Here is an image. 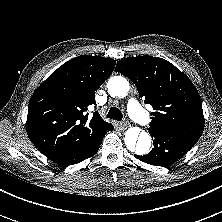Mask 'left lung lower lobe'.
Here are the masks:
<instances>
[{
  "instance_id": "1",
  "label": "left lung lower lobe",
  "mask_w": 222,
  "mask_h": 222,
  "mask_svg": "<svg viewBox=\"0 0 222 222\" xmlns=\"http://www.w3.org/2000/svg\"><path fill=\"white\" fill-rule=\"evenodd\" d=\"M154 148L144 156L135 155L137 159L150 165L168 167L184 156L200 137L172 129H149Z\"/></svg>"
}]
</instances>
